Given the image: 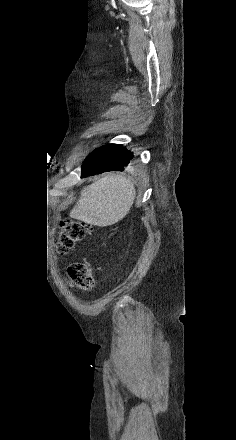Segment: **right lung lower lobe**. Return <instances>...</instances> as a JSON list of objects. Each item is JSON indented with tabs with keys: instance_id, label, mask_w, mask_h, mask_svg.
I'll use <instances>...</instances> for the list:
<instances>
[{
	"instance_id": "98d812e1",
	"label": "right lung lower lobe",
	"mask_w": 236,
	"mask_h": 440,
	"mask_svg": "<svg viewBox=\"0 0 236 440\" xmlns=\"http://www.w3.org/2000/svg\"><path fill=\"white\" fill-rule=\"evenodd\" d=\"M133 158V153L118 144H107L94 150L82 165L81 177L106 171H122Z\"/></svg>"
}]
</instances>
